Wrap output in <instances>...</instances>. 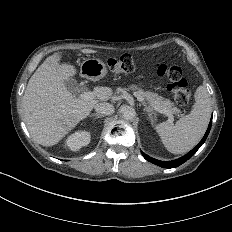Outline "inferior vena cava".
Here are the masks:
<instances>
[{
	"instance_id": "602c4592",
	"label": "inferior vena cava",
	"mask_w": 232,
	"mask_h": 232,
	"mask_svg": "<svg viewBox=\"0 0 232 232\" xmlns=\"http://www.w3.org/2000/svg\"><path fill=\"white\" fill-rule=\"evenodd\" d=\"M95 110L98 114L103 116H110L114 113V107L109 103H98L95 106Z\"/></svg>"
}]
</instances>
